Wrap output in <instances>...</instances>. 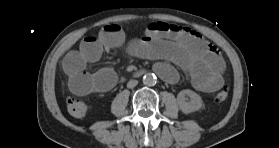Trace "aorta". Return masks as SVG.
I'll return each instance as SVG.
<instances>
[{"instance_id":"aorta-1","label":"aorta","mask_w":279,"mask_h":148,"mask_svg":"<svg viewBox=\"0 0 279 148\" xmlns=\"http://www.w3.org/2000/svg\"><path fill=\"white\" fill-rule=\"evenodd\" d=\"M156 76L154 74L148 73L143 76V83L148 86L156 84Z\"/></svg>"}]
</instances>
